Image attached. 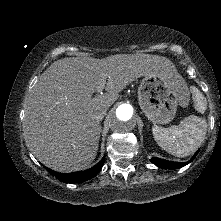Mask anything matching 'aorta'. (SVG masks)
<instances>
[{"label": "aorta", "instance_id": "762f6f07", "mask_svg": "<svg viewBox=\"0 0 221 221\" xmlns=\"http://www.w3.org/2000/svg\"><path fill=\"white\" fill-rule=\"evenodd\" d=\"M110 128L117 134H126L136 125L133 107L130 104H120L110 117Z\"/></svg>", "mask_w": 221, "mask_h": 221}]
</instances>
